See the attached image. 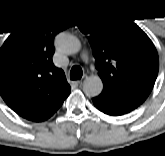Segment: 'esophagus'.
Masks as SVG:
<instances>
[{
	"label": "esophagus",
	"instance_id": "esophagus-1",
	"mask_svg": "<svg viewBox=\"0 0 165 156\" xmlns=\"http://www.w3.org/2000/svg\"><path fill=\"white\" fill-rule=\"evenodd\" d=\"M76 83L81 86L84 83V79L78 80Z\"/></svg>",
	"mask_w": 165,
	"mask_h": 156
}]
</instances>
